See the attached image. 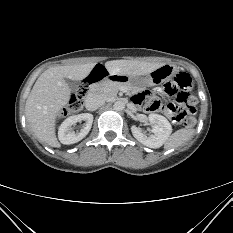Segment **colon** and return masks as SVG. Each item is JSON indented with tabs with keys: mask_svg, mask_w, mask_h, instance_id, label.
<instances>
[{
	"mask_svg": "<svg viewBox=\"0 0 233 233\" xmlns=\"http://www.w3.org/2000/svg\"><path fill=\"white\" fill-rule=\"evenodd\" d=\"M191 80L185 73H179L175 79L165 85L166 93L173 97V101H160L155 98L149 104L150 111H161L169 119L185 127H192L196 123V98L190 93ZM87 95L83 85L77 93L71 96L67 112H76L83 108Z\"/></svg>",
	"mask_w": 233,
	"mask_h": 233,
	"instance_id": "1",
	"label": "colon"
}]
</instances>
